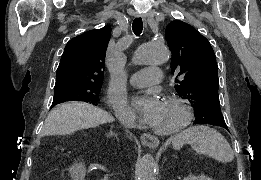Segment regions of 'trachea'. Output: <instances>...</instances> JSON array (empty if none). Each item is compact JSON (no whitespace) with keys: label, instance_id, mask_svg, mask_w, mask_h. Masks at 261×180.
<instances>
[{"label":"trachea","instance_id":"obj_1","mask_svg":"<svg viewBox=\"0 0 261 180\" xmlns=\"http://www.w3.org/2000/svg\"><path fill=\"white\" fill-rule=\"evenodd\" d=\"M132 29L135 35L139 36L143 30L142 18H135L132 23Z\"/></svg>","mask_w":261,"mask_h":180}]
</instances>
